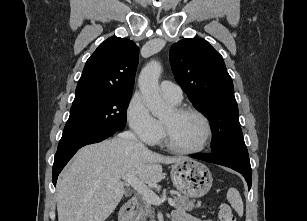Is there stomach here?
Wrapping results in <instances>:
<instances>
[{"mask_svg":"<svg viewBox=\"0 0 307 221\" xmlns=\"http://www.w3.org/2000/svg\"><path fill=\"white\" fill-rule=\"evenodd\" d=\"M171 179L180 192L191 198L207 194L213 182L209 168L201 162L190 159L172 165Z\"/></svg>","mask_w":307,"mask_h":221,"instance_id":"stomach-1","label":"stomach"}]
</instances>
